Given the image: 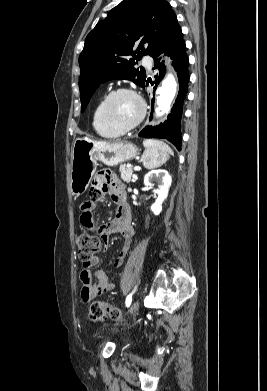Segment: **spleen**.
I'll list each match as a JSON object with an SVG mask.
<instances>
[{
    "label": "spleen",
    "instance_id": "3e777b00",
    "mask_svg": "<svg viewBox=\"0 0 267 391\" xmlns=\"http://www.w3.org/2000/svg\"><path fill=\"white\" fill-rule=\"evenodd\" d=\"M144 152L141 157L143 166L148 169H154L167 162L170 155H173L172 149L164 142L154 139H146L143 142Z\"/></svg>",
    "mask_w": 267,
    "mask_h": 391
}]
</instances>
